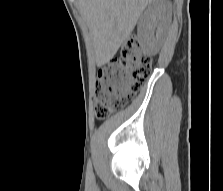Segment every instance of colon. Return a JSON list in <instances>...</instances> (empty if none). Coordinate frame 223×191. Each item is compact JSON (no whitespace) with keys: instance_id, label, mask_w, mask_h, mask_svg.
Listing matches in <instances>:
<instances>
[{"instance_id":"obj_1","label":"colon","mask_w":223,"mask_h":191,"mask_svg":"<svg viewBox=\"0 0 223 191\" xmlns=\"http://www.w3.org/2000/svg\"><path fill=\"white\" fill-rule=\"evenodd\" d=\"M152 70V57L133 38L99 73L95 85V115L106 119L124 107L142 88Z\"/></svg>"}]
</instances>
